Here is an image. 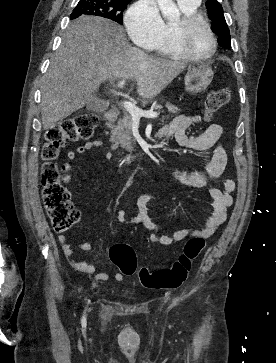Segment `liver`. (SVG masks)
<instances>
[{"mask_svg":"<svg viewBox=\"0 0 276 363\" xmlns=\"http://www.w3.org/2000/svg\"><path fill=\"white\" fill-rule=\"evenodd\" d=\"M186 67L131 46L124 29L111 20L81 16L67 27L43 78V129L83 108L102 81L135 79L137 93L152 99Z\"/></svg>","mask_w":276,"mask_h":363,"instance_id":"obj_1","label":"liver"}]
</instances>
